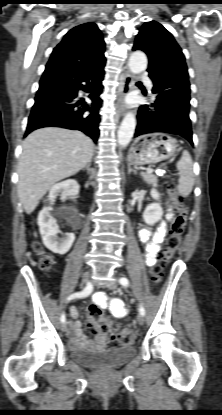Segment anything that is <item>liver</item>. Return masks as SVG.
<instances>
[{
  "label": "liver",
  "instance_id": "liver-1",
  "mask_svg": "<svg viewBox=\"0 0 222 415\" xmlns=\"http://www.w3.org/2000/svg\"><path fill=\"white\" fill-rule=\"evenodd\" d=\"M93 149V141L76 130L45 127L29 134L23 142L17 186L26 214L35 210L56 182L90 163Z\"/></svg>",
  "mask_w": 222,
  "mask_h": 415
}]
</instances>
